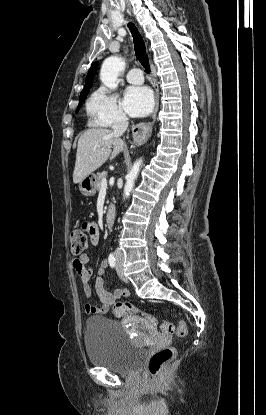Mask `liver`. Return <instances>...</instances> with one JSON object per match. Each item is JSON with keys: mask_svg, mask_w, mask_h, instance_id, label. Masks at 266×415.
Masks as SVG:
<instances>
[{"mask_svg": "<svg viewBox=\"0 0 266 415\" xmlns=\"http://www.w3.org/2000/svg\"><path fill=\"white\" fill-rule=\"evenodd\" d=\"M124 148V142L109 129L92 128L84 131L78 140L73 182L80 183L109 157L114 159Z\"/></svg>", "mask_w": 266, "mask_h": 415, "instance_id": "6515ba94", "label": "liver"}]
</instances>
